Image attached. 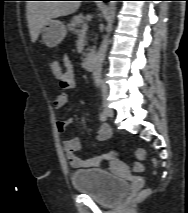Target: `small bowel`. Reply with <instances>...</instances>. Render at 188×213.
Returning <instances> with one entry per match:
<instances>
[{
    "label": "small bowel",
    "mask_w": 188,
    "mask_h": 213,
    "mask_svg": "<svg viewBox=\"0 0 188 213\" xmlns=\"http://www.w3.org/2000/svg\"><path fill=\"white\" fill-rule=\"evenodd\" d=\"M64 67L65 70L61 72L59 76H57L59 80V87L62 90V93L56 96L54 99V109L62 110L66 107L70 100L69 91L75 88L76 86V78L74 75V69L71 61L66 57L64 58ZM73 123L72 118L58 120L56 123L57 130L59 132H65L66 129ZM111 137V129L108 124L100 123L98 127V138L102 141L107 140ZM80 139L75 137L72 139H68L64 141V151L66 154V158L70 165L76 169H84V168H94L100 166L102 163L106 161L114 160V153L109 152L105 154H101L91 158H80L75 155V152L80 148Z\"/></svg>",
    "instance_id": "c3829d8e"
}]
</instances>
